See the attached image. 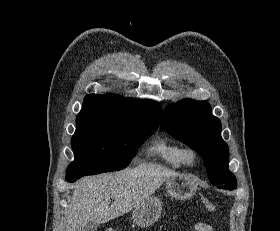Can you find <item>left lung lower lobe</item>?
<instances>
[{
    "instance_id": "0a47b994",
    "label": "left lung lower lobe",
    "mask_w": 280,
    "mask_h": 231,
    "mask_svg": "<svg viewBox=\"0 0 280 231\" xmlns=\"http://www.w3.org/2000/svg\"><path fill=\"white\" fill-rule=\"evenodd\" d=\"M236 187H237V185H236V186H232L231 184H226V185L221 186L220 189L233 190V189H235Z\"/></svg>"
}]
</instances>
